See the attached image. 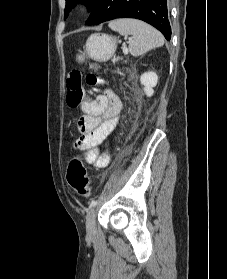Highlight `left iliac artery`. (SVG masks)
<instances>
[{"instance_id": "left-iliac-artery-1", "label": "left iliac artery", "mask_w": 227, "mask_h": 279, "mask_svg": "<svg viewBox=\"0 0 227 279\" xmlns=\"http://www.w3.org/2000/svg\"><path fill=\"white\" fill-rule=\"evenodd\" d=\"M96 204H97V200H93V201L90 203L89 208L94 207Z\"/></svg>"}]
</instances>
